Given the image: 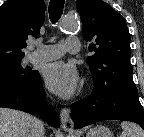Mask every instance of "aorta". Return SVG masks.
Returning a JSON list of instances; mask_svg holds the SVG:
<instances>
[{"mask_svg":"<svg viewBox=\"0 0 144 137\" xmlns=\"http://www.w3.org/2000/svg\"><path fill=\"white\" fill-rule=\"evenodd\" d=\"M60 27L64 31L75 32L79 28V23L76 19L66 18L60 23Z\"/></svg>","mask_w":144,"mask_h":137,"instance_id":"obj_1","label":"aorta"}]
</instances>
